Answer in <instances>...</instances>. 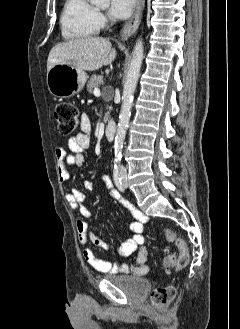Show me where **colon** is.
Listing matches in <instances>:
<instances>
[{
	"label": "colon",
	"mask_w": 240,
	"mask_h": 329,
	"mask_svg": "<svg viewBox=\"0 0 240 329\" xmlns=\"http://www.w3.org/2000/svg\"><path fill=\"white\" fill-rule=\"evenodd\" d=\"M55 118L58 123V130L62 135H70L80 124L79 110L74 104L69 102H61L56 105ZM164 233L169 241L175 243L179 253L168 251L163 259V267L165 269L175 268L177 270L185 268L189 262V252L185 240L170 228H165ZM175 295V286L166 284L154 289L151 292L150 300L154 305L164 306L172 302Z\"/></svg>",
	"instance_id": "5ec220e1"
}]
</instances>
